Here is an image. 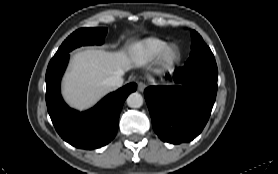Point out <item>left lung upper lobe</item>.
Instances as JSON below:
<instances>
[{
	"label": "left lung upper lobe",
	"mask_w": 278,
	"mask_h": 174,
	"mask_svg": "<svg viewBox=\"0 0 278 174\" xmlns=\"http://www.w3.org/2000/svg\"><path fill=\"white\" fill-rule=\"evenodd\" d=\"M191 53L185 66L201 65L217 71V65L213 53L205 44L202 37L194 30L191 33Z\"/></svg>",
	"instance_id": "5c2ea615"
}]
</instances>
